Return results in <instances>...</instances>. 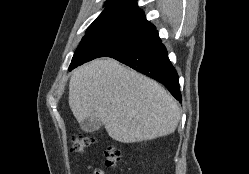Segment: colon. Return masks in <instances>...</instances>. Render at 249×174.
Here are the masks:
<instances>
[{
	"mask_svg": "<svg viewBox=\"0 0 249 174\" xmlns=\"http://www.w3.org/2000/svg\"><path fill=\"white\" fill-rule=\"evenodd\" d=\"M94 139L87 135H79L72 141L71 151L73 153H84L93 144ZM105 164L114 167L121 159L122 152L119 148L110 146L104 152Z\"/></svg>",
	"mask_w": 249,
	"mask_h": 174,
	"instance_id": "obj_1",
	"label": "colon"
}]
</instances>
